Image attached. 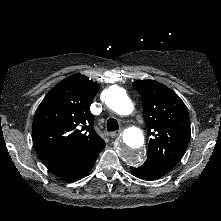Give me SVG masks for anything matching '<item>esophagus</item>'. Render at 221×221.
Segmentation results:
<instances>
[{
  "instance_id": "obj_1",
  "label": "esophagus",
  "mask_w": 221,
  "mask_h": 221,
  "mask_svg": "<svg viewBox=\"0 0 221 221\" xmlns=\"http://www.w3.org/2000/svg\"><path fill=\"white\" fill-rule=\"evenodd\" d=\"M121 133H122V130H117V131L111 132L109 135H110L112 138H114V137L120 135Z\"/></svg>"
}]
</instances>
